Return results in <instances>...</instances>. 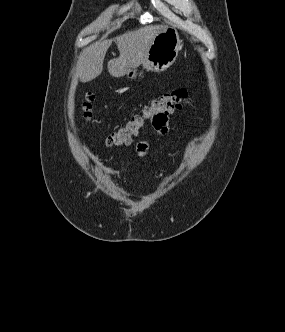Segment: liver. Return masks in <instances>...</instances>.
<instances>
[{
    "mask_svg": "<svg viewBox=\"0 0 285 332\" xmlns=\"http://www.w3.org/2000/svg\"><path fill=\"white\" fill-rule=\"evenodd\" d=\"M164 28L163 25H149L114 38L120 54L108 62L110 75L119 78L143 64L154 38ZM111 43L112 39L99 41L83 51L77 63L81 82H89L101 74L104 57Z\"/></svg>",
    "mask_w": 285,
    "mask_h": 332,
    "instance_id": "6515ba94",
    "label": "liver"
}]
</instances>
